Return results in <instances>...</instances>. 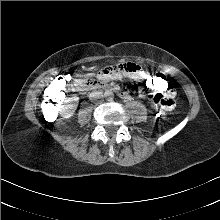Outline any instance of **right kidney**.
Returning <instances> with one entry per match:
<instances>
[{"instance_id":"1","label":"right kidney","mask_w":220,"mask_h":220,"mask_svg":"<svg viewBox=\"0 0 220 220\" xmlns=\"http://www.w3.org/2000/svg\"><path fill=\"white\" fill-rule=\"evenodd\" d=\"M78 97L69 98L68 101L61 106L60 113L64 118L71 117L77 108Z\"/></svg>"}]
</instances>
